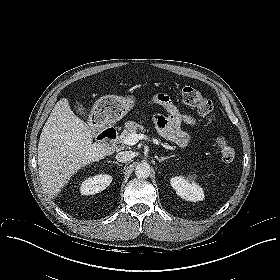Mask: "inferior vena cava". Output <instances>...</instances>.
Here are the masks:
<instances>
[{"label":"inferior vena cava","instance_id":"inferior-vena-cava-1","mask_svg":"<svg viewBox=\"0 0 280 280\" xmlns=\"http://www.w3.org/2000/svg\"><path fill=\"white\" fill-rule=\"evenodd\" d=\"M134 157V153L132 151H122L117 153L116 159L119 162L125 163L130 161Z\"/></svg>","mask_w":280,"mask_h":280}]
</instances>
